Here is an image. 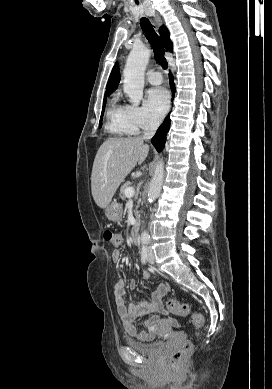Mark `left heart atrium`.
Returning <instances> with one entry per match:
<instances>
[{"label": "left heart atrium", "mask_w": 272, "mask_h": 389, "mask_svg": "<svg viewBox=\"0 0 272 389\" xmlns=\"http://www.w3.org/2000/svg\"><path fill=\"white\" fill-rule=\"evenodd\" d=\"M146 106L155 118H161L169 107L168 92L162 87L149 89L146 93Z\"/></svg>", "instance_id": "obj_1"}]
</instances>
